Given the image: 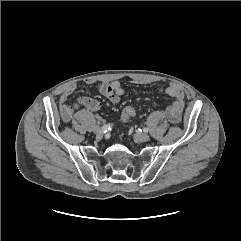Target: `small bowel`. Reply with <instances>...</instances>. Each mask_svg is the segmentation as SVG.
Wrapping results in <instances>:
<instances>
[{"mask_svg":"<svg viewBox=\"0 0 241 241\" xmlns=\"http://www.w3.org/2000/svg\"><path fill=\"white\" fill-rule=\"evenodd\" d=\"M75 89L76 84L72 83L68 85L60 97L59 110L61 119L65 123L70 122L75 112L81 107H84L90 111H98L101 107V103L98 100L86 96L80 97L73 104H69L68 98ZM97 89L113 105L118 104L120 98L126 93L119 81L100 82L97 85ZM161 91L174 98V101L166 108V115L172 124H178L181 120L185 105L184 92L174 83H170L161 88Z\"/></svg>","mask_w":241,"mask_h":241,"instance_id":"c3829d8e","label":"small bowel"}]
</instances>
